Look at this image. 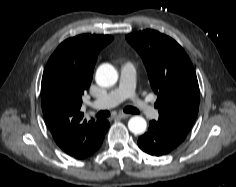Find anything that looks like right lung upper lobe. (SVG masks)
Returning <instances> with one entry per match:
<instances>
[{
    "mask_svg": "<svg viewBox=\"0 0 236 187\" xmlns=\"http://www.w3.org/2000/svg\"><path fill=\"white\" fill-rule=\"evenodd\" d=\"M110 35H78L62 42L42 77V110L57 145L77 159L90 156L103 135L104 120H83L82 96L91 84L100 50Z\"/></svg>",
    "mask_w": 236,
    "mask_h": 187,
    "instance_id": "right-lung-upper-lobe-1",
    "label": "right lung upper lobe"
}]
</instances>
